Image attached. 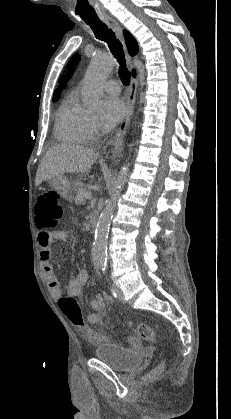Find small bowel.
<instances>
[{
  "label": "small bowel",
  "instance_id": "c3829d8e",
  "mask_svg": "<svg viewBox=\"0 0 231 419\" xmlns=\"http://www.w3.org/2000/svg\"><path fill=\"white\" fill-rule=\"evenodd\" d=\"M67 238V233L64 230H55L52 232L46 230H40L38 233L37 241L40 246V259L42 264V271L49 282V289L52 297L55 300H59L62 295V289L59 285V281L52 266L51 253L53 244L56 241H64ZM88 281V272L85 269H80L75 276L69 281L67 285V294L71 297L79 298L82 289ZM91 307L93 312L87 314L86 320L91 325H99L102 317L105 315V300L101 294H97L91 301ZM96 333V332H95ZM100 338V334H98ZM98 338V339H99ZM133 343H136L135 339H132Z\"/></svg>",
  "mask_w": 231,
  "mask_h": 419
}]
</instances>
